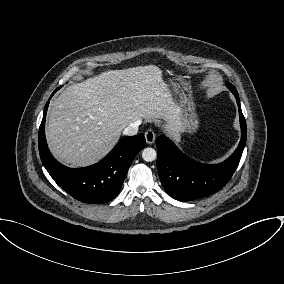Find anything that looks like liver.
I'll return each instance as SVG.
<instances>
[{"label": "liver", "instance_id": "1", "mask_svg": "<svg viewBox=\"0 0 284 284\" xmlns=\"http://www.w3.org/2000/svg\"><path fill=\"white\" fill-rule=\"evenodd\" d=\"M162 119L179 138L181 109L154 66L110 70L68 86L49 108L46 138L53 155L72 167L101 160L131 123Z\"/></svg>", "mask_w": 284, "mask_h": 284}]
</instances>
